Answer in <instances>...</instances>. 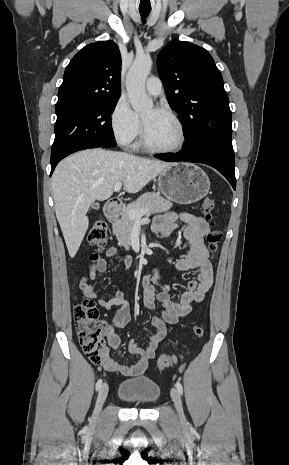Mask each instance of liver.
<instances>
[{
	"instance_id": "1",
	"label": "liver",
	"mask_w": 289,
	"mask_h": 465,
	"mask_svg": "<svg viewBox=\"0 0 289 465\" xmlns=\"http://www.w3.org/2000/svg\"><path fill=\"white\" fill-rule=\"evenodd\" d=\"M173 163L150 160L101 148L70 155L56 167L52 192L56 218L70 257H74L88 230L87 212L95 201L111 197L116 183L137 193Z\"/></svg>"
}]
</instances>
